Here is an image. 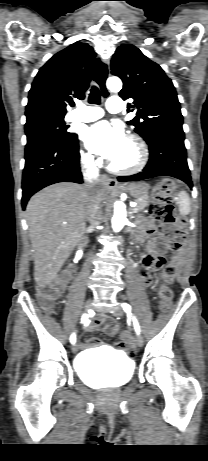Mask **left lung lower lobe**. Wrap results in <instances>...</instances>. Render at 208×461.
I'll list each match as a JSON object with an SVG mask.
<instances>
[{"label":"left lung lower lobe","instance_id":"1","mask_svg":"<svg viewBox=\"0 0 208 461\" xmlns=\"http://www.w3.org/2000/svg\"><path fill=\"white\" fill-rule=\"evenodd\" d=\"M148 145L150 158L143 171L131 176H119L118 181H139L156 176H172L184 181L192 188L184 145V132L159 133Z\"/></svg>","mask_w":208,"mask_h":461}]
</instances>
